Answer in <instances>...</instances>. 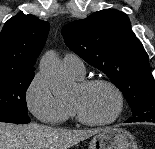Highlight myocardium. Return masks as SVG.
<instances>
[{"mask_svg":"<svg viewBox=\"0 0 155 149\" xmlns=\"http://www.w3.org/2000/svg\"><path fill=\"white\" fill-rule=\"evenodd\" d=\"M78 85L82 89H88L96 85L106 86L114 92L117 99V108L114 115L111 118L104 121H94L87 118L76 104L70 102V107L73 111V114L81 124H84L87 126H94V127L106 126L114 123L121 117L124 111L125 99H124L123 92L115 83L103 78H92V79L82 80Z\"/></svg>","mask_w":155,"mask_h":149,"instance_id":"obj_1","label":"myocardium"}]
</instances>
